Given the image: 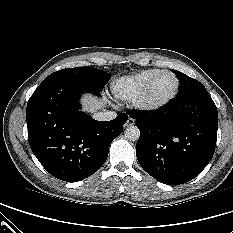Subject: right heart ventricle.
Wrapping results in <instances>:
<instances>
[{"instance_id": "e07e8e85", "label": "right heart ventricle", "mask_w": 233, "mask_h": 233, "mask_svg": "<svg viewBox=\"0 0 233 233\" xmlns=\"http://www.w3.org/2000/svg\"><path fill=\"white\" fill-rule=\"evenodd\" d=\"M159 71L161 70L157 68H150L120 77L112 83L111 91L113 95L120 100H135L147 82Z\"/></svg>"}]
</instances>
